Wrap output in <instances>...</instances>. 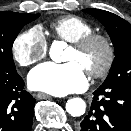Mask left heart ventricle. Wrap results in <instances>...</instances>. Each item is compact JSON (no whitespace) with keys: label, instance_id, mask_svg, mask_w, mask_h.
<instances>
[{"label":"left heart ventricle","instance_id":"1","mask_svg":"<svg viewBox=\"0 0 131 131\" xmlns=\"http://www.w3.org/2000/svg\"><path fill=\"white\" fill-rule=\"evenodd\" d=\"M105 57L104 48L96 44L84 53H78L73 48H70L67 55L66 61H75L85 70L98 68Z\"/></svg>","mask_w":131,"mask_h":131}]
</instances>
